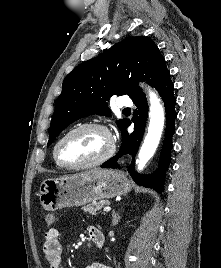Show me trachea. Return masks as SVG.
<instances>
[{
    "label": "trachea",
    "instance_id": "1",
    "mask_svg": "<svg viewBox=\"0 0 221 268\" xmlns=\"http://www.w3.org/2000/svg\"><path fill=\"white\" fill-rule=\"evenodd\" d=\"M124 111H130V108H126V109H124Z\"/></svg>",
    "mask_w": 221,
    "mask_h": 268
}]
</instances>
